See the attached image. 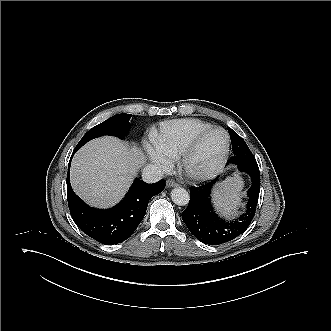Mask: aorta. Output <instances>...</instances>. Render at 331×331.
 I'll return each mask as SVG.
<instances>
[{
	"label": "aorta",
	"instance_id": "aorta-1",
	"mask_svg": "<svg viewBox=\"0 0 331 331\" xmlns=\"http://www.w3.org/2000/svg\"><path fill=\"white\" fill-rule=\"evenodd\" d=\"M172 201L179 206H186L190 201V194L184 188L177 187L171 191Z\"/></svg>",
	"mask_w": 331,
	"mask_h": 331
}]
</instances>
